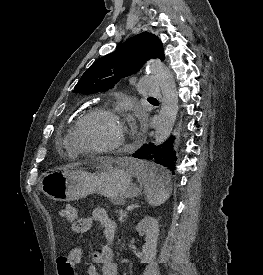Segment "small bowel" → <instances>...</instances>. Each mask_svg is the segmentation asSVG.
Wrapping results in <instances>:
<instances>
[{
    "instance_id": "c3829d8e",
    "label": "small bowel",
    "mask_w": 263,
    "mask_h": 275,
    "mask_svg": "<svg viewBox=\"0 0 263 275\" xmlns=\"http://www.w3.org/2000/svg\"><path fill=\"white\" fill-rule=\"evenodd\" d=\"M98 223L103 228L104 244L92 254L87 265L88 275H117V264L114 261L113 240L116 232L115 222L108 216L104 208H94L90 216L78 218L71 224V231L77 234L88 232ZM100 267V270L98 269Z\"/></svg>"
}]
</instances>
